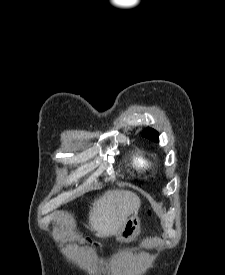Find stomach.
I'll return each mask as SVG.
<instances>
[{"mask_svg":"<svg viewBox=\"0 0 225 275\" xmlns=\"http://www.w3.org/2000/svg\"><path fill=\"white\" fill-rule=\"evenodd\" d=\"M140 233V219L137 213L130 216L115 236L120 241H131Z\"/></svg>","mask_w":225,"mask_h":275,"instance_id":"1","label":"stomach"}]
</instances>
